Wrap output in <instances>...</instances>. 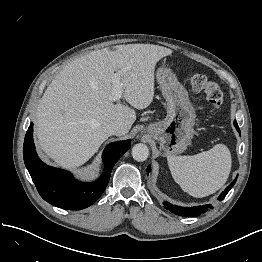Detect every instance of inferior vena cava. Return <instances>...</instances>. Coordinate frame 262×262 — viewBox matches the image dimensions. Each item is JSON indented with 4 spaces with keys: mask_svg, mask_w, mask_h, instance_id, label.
Wrapping results in <instances>:
<instances>
[{
    "mask_svg": "<svg viewBox=\"0 0 262 262\" xmlns=\"http://www.w3.org/2000/svg\"><path fill=\"white\" fill-rule=\"evenodd\" d=\"M106 133L111 136V135H119L122 131V127L118 124H108L105 127Z\"/></svg>",
    "mask_w": 262,
    "mask_h": 262,
    "instance_id": "1",
    "label": "inferior vena cava"
}]
</instances>
